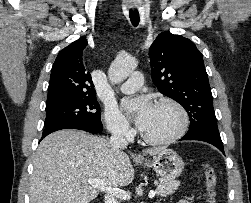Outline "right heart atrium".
<instances>
[{
	"label": "right heart atrium",
	"instance_id": "right-heart-atrium-1",
	"mask_svg": "<svg viewBox=\"0 0 251 203\" xmlns=\"http://www.w3.org/2000/svg\"><path fill=\"white\" fill-rule=\"evenodd\" d=\"M104 122L108 131L116 137L129 138L133 130L124 115L115 107H107Z\"/></svg>",
	"mask_w": 251,
	"mask_h": 203
}]
</instances>
